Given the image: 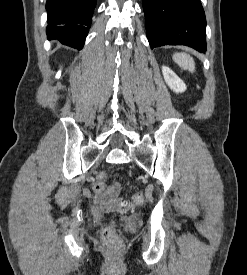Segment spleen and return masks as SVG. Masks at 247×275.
Instances as JSON below:
<instances>
[{"instance_id": "3e777b00", "label": "spleen", "mask_w": 247, "mask_h": 275, "mask_svg": "<svg viewBox=\"0 0 247 275\" xmlns=\"http://www.w3.org/2000/svg\"><path fill=\"white\" fill-rule=\"evenodd\" d=\"M173 60L184 70H188L191 73L195 71L194 59L187 53H175L173 55Z\"/></svg>"}]
</instances>
